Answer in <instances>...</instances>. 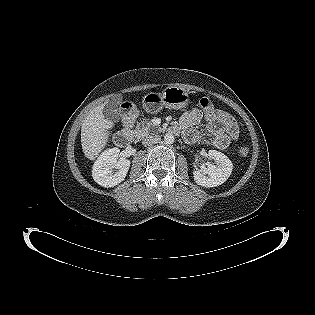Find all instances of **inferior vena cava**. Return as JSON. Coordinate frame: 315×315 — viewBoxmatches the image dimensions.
Instances as JSON below:
<instances>
[{"label":"inferior vena cava","mask_w":315,"mask_h":315,"mask_svg":"<svg viewBox=\"0 0 315 315\" xmlns=\"http://www.w3.org/2000/svg\"><path fill=\"white\" fill-rule=\"evenodd\" d=\"M161 140V137L160 135H148L146 136L144 139H143V142L142 144L144 146H150V145H153V144H156V143H159Z\"/></svg>","instance_id":"inferior-vena-cava-1"}]
</instances>
